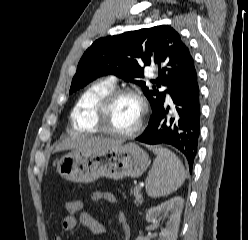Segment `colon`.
Wrapping results in <instances>:
<instances>
[{"label":"colon","instance_id":"5ec220e1","mask_svg":"<svg viewBox=\"0 0 248 240\" xmlns=\"http://www.w3.org/2000/svg\"><path fill=\"white\" fill-rule=\"evenodd\" d=\"M83 201L80 199L68 200L65 204V210L67 215H77L83 209Z\"/></svg>","mask_w":248,"mask_h":240}]
</instances>
